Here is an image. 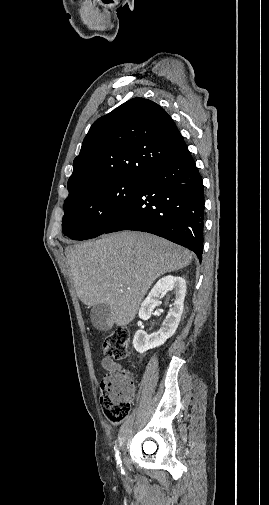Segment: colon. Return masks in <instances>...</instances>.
I'll return each mask as SVG.
<instances>
[{
    "label": "colon",
    "mask_w": 269,
    "mask_h": 505,
    "mask_svg": "<svg viewBox=\"0 0 269 505\" xmlns=\"http://www.w3.org/2000/svg\"><path fill=\"white\" fill-rule=\"evenodd\" d=\"M130 333L125 328H118L109 334L103 342V352L115 360H125L128 355ZM100 403L107 420L120 424L130 413L133 399V387L130 374L122 370L109 374L101 381Z\"/></svg>",
    "instance_id": "1"
}]
</instances>
